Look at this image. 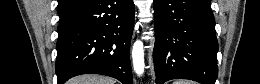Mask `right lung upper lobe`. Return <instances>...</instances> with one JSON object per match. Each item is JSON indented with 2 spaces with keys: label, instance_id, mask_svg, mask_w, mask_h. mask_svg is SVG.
<instances>
[{
  "label": "right lung upper lobe",
  "instance_id": "cb5924a9",
  "mask_svg": "<svg viewBox=\"0 0 260 84\" xmlns=\"http://www.w3.org/2000/svg\"><path fill=\"white\" fill-rule=\"evenodd\" d=\"M91 0H58V13L60 21L79 10Z\"/></svg>",
  "mask_w": 260,
  "mask_h": 84
}]
</instances>
